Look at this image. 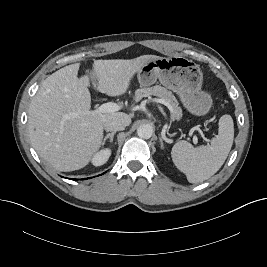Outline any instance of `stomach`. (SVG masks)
<instances>
[{"label":"stomach","instance_id":"stomach-1","mask_svg":"<svg viewBox=\"0 0 267 267\" xmlns=\"http://www.w3.org/2000/svg\"><path fill=\"white\" fill-rule=\"evenodd\" d=\"M142 87L157 79L166 88L176 92L184 107L193 115L203 116L212 107L211 95L202 91L203 73L196 63L182 56L155 57L138 71Z\"/></svg>","mask_w":267,"mask_h":267}]
</instances>
